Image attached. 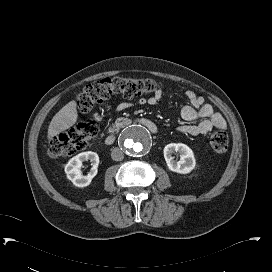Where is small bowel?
<instances>
[{
	"label": "small bowel",
	"mask_w": 272,
	"mask_h": 272,
	"mask_svg": "<svg viewBox=\"0 0 272 272\" xmlns=\"http://www.w3.org/2000/svg\"><path fill=\"white\" fill-rule=\"evenodd\" d=\"M186 97L189 100V105L182 107L180 111L181 117L185 121H195L200 119L198 124L184 125L178 127L177 131L185 135H204L211 132L213 129H226L227 124L224 117L216 112L213 107L205 102L202 96L196 95L193 91H187ZM161 92H156L148 99H140L138 104L156 105L161 100ZM132 103L124 102L119 105L118 110L130 108Z\"/></svg>",
	"instance_id": "c3829d8e"
}]
</instances>
